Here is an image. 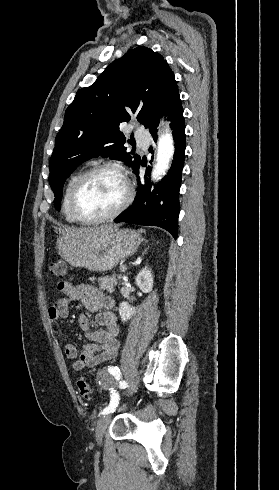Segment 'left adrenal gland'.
I'll list each match as a JSON object with an SVG mask.
<instances>
[{"label":"left adrenal gland","instance_id":"left-adrenal-gland-1","mask_svg":"<svg viewBox=\"0 0 279 490\" xmlns=\"http://www.w3.org/2000/svg\"><path fill=\"white\" fill-rule=\"evenodd\" d=\"M148 248H149V246H148ZM148 248H145V250H144V252H142V254H146Z\"/></svg>","mask_w":279,"mask_h":490}]
</instances>
